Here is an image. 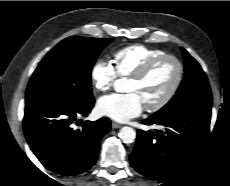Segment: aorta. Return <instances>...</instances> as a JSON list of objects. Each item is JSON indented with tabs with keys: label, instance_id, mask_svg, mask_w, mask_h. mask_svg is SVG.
I'll return each mask as SVG.
<instances>
[{
	"label": "aorta",
	"instance_id": "1",
	"mask_svg": "<svg viewBox=\"0 0 230 186\" xmlns=\"http://www.w3.org/2000/svg\"><path fill=\"white\" fill-rule=\"evenodd\" d=\"M119 136L124 143H132L136 138V131L129 126H125L121 128Z\"/></svg>",
	"mask_w": 230,
	"mask_h": 186
}]
</instances>
